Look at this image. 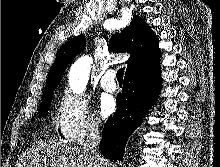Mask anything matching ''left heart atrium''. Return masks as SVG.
Wrapping results in <instances>:
<instances>
[{
    "mask_svg": "<svg viewBox=\"0 0 220 167\" xmlns=\"http://www.w3.org/2000/svg\"><path fill=\"white\" fill-rule=\"evenodd\" d=\"M116 108L115 100L112 96L105 95L101 97L99 103V110L102 117L110 116Z\"/></svg>",
    "mask_w": 220,
    "mask_h": 167,
    "instance_id": "left-heart-atrium-1",
    "label": "left heart atrium"
}]
</instances>
